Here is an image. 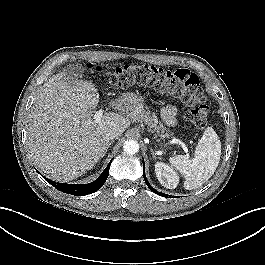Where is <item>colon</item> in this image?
Wrapping results in <instances>:
<instances>
[{
  "instance_id": "1",
  "label": "colon",
  "mask_w": 265,
  "mask_h": 265,
  "mask_svg": "<svg viewBox=\"0 0 265 265\" xmlns=\"http://www.w3.org/2000/svg\"><path fill=\"white\" fill-rule=\"evenodd\" d=\"M101 72L99 66H90ZM109 83L116 88H127L135 84L148 85L180 99L189 108L185 119L197 128L207 123L208 106L201 96L198 76L187 69H165L148 64H128L117 67L109 75Z\"/></svg>"
}]
</instances>
